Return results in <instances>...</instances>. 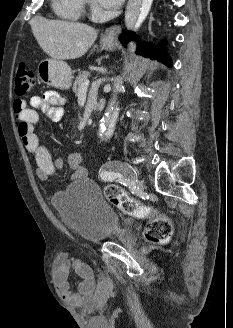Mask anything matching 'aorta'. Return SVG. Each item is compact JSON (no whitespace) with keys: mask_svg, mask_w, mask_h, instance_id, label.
Wrapping results in <instances>:
<instances>
[{"mask_svg":"<svg viewBox=\"0 0 233 328\" xmlns=\"http://www.w3.org/2000/svg\"><path fill=\"white\" fill-rule=\"evenodd\" d=\"M153 0H129L125 11V25L127 28L139 27L146 18ZM134 45L131 46V51ZM122 87V79L116 78L113 85V96L100 120L98 136L100 140H108L112 137L117 119L119 117V107L116 104L117 94Z\"/></svg>","mask_w":233,"mask_h":328,"instance_id":"aorta-1","label":"aorta"}]
</instances>
